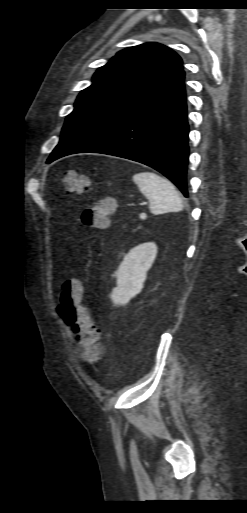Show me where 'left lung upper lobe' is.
I'll return each mask as SVG.
<instances>
[{
  "instance_id": "5c2ea615",
  "label": "left lung upper lobe",
  "mask_w": 247,
  "mask_h": 513,
  "mask_svg": "<svg viewBox=\"0 0 247 513\" xmlns=\"http://www.w3.org/2000/svg\"><path fill=\"white\" fill-rule=\"evenodd\" d=\"M183 72L182 59L158 43L124 49L97 70L65 121L61 141L97 118L123 106Z\"/></svg>"
}]
</instances>
